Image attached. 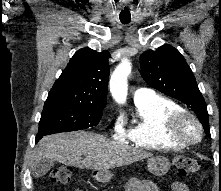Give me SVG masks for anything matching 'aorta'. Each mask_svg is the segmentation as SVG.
I'll return each instance as SVG.
<instances>
[{"label":"aorta","mask_w":221,"mask_h":191,"mask_svg":"<svg viewBox=\"0 0 221 191\" xmlns=\"http://www.w3.org/2000/svg\"><path fill=\"white\" fill-rule=\"evenodd\" d=\"M131 72V63L128 59H123L114 70L109 88L112 97L119 104H124L127 99L128 76Z\"/></svg>","instance_id":"aorta-1"}]
</instances>
